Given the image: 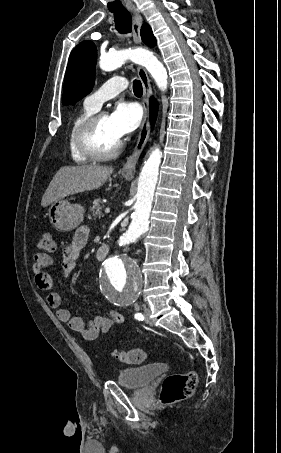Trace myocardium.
Listing matches in <instances>:
<instances>
[{
	"label": "myocardium",
	"instance_id": "f54148a6",
	"mask_svg": "<svg viewBox=\"0 0 281 453\" xmlns=\"http://www.w3.org/2000/svg\"><path fill=\"white\" fill-rule=\"evenodd\" d=\"M107 115L105 113H97L89 118L81 127L78 135V146L81 153L92 160H109L116 157L122 150L124 142L120 139L115 147L107 152L98 149L95 143L96 129L99 123Z\"/></svg>",
	"mask_w": 281,
	"mask_h": 453
}]
</instances>
